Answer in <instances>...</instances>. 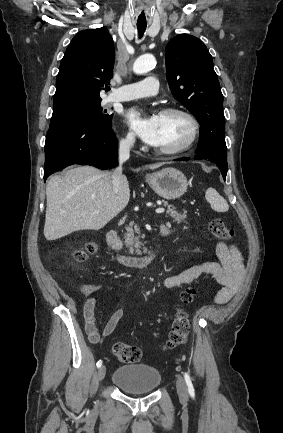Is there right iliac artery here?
Segmentation results:
<instances>
[{
	"mask_svg": "<svg viewBox=\"0 0 283 433\" xmlns=\"http://www.w3.org/2000/svg\"><path fill=\"white\" fill-rule=\"evenodd\" d=\"M101 365H102V360H99V361L96 363V366H97V368H99V367H101Z\"/></svg>",
	"mask_w": 283,
	"mask_h": 433,
	"instance_id": "1",
	"label": "right iliac artery"
}]
</instances>
